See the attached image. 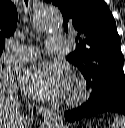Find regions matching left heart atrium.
Here are the masks:
<instances>
[{
    "label": "left heart atrium",
    "instance_id": "1",
    "mask_svg": "<svg viewBox=\"0 0 125 128\" xmlns=\"http://www.w3.org/2000/svg\"><path fill=\"white\" fill-rule=\"evenodd\" d=\"M19 82L30 97L38 100H56L70 89V75L66 67L40 62L22 70Z\"/></svg>",
    "mask_w": 125,
    "mask_h": 128
}]
</instances>
